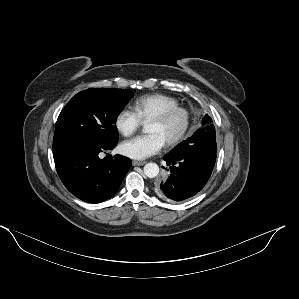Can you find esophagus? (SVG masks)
Wrapping results in <instances>:
<instances>
[{
    "mask_svg": "<svg viewBox=\"0 0 299 299\" xmlns=\"http://www.w3.org/2000/svg\"><path fill=\"white\" fill-rule=\"evenodd\" d=\"M145 163H146V161H136V160L132 161L133 166H142Z\"/></svg>",
    "mask_w": 299,
    "mask_h": 299,
    "instance_id": "obj_1",
    "label": "esophagus"
}]
</instances>
